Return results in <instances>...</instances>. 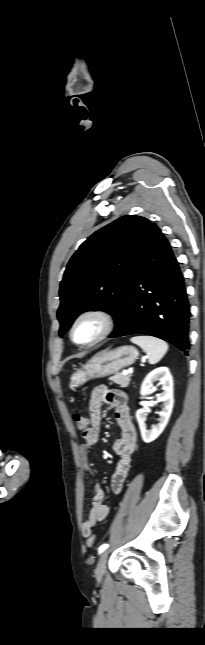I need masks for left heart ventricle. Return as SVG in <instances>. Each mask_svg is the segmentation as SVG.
<instances>
[{"mask_svg":"<svg viewBox=\"0 0 205 645\" xmlns=\"http://www.w3.org/2000/svg\"><path fill=\"white\" fill-rule=\"evenodd\" d=\"M100 328V323L96 319H85L76 327L75 339L79 342H88L97 336Z\"/></svg>","mask_w":205,"mask_h":645,"instance_id":"b2bd125f","label":"left heart ventricle"}]
</instances>
